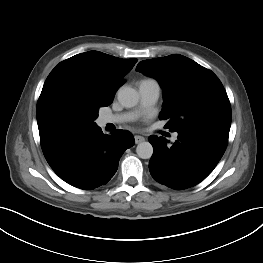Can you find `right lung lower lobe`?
<instances>
[{
  "label": "right lung lower lobe",
  "instance_id": "right-lung-lower-lobe-1",
  "mask_svg": "<svg viewBox=\"0 0 263 263\" xmlns=\"http://www.w3.org/2000/svg\"><path fill=\"white\" fill-rule=\"evenodd\" d=\"M53 171L70 185L91 190L105 185L116 173L119 159L135 143L127 130L103 135L100 127L40 137Z\"/></svg>",
  "mask_w": 263,
  "mask_h": 263
}]
</instances>
